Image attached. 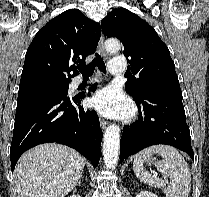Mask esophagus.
Segmentation results:
<instances>
[{
    "label": "esophagus",
    "instance_id": "esophagus-1",
    "mask_svg": "<svg viewBox=\"0 0 209 197\" xmlns=\"http://www.w3.org/2000/svg\"><path fill=\"white\" fill-rule=\"evenodd\" d=\"M98 51L103 57H105V58L107 57V54H106L105 49H104L103 34H101V37H100V40H99V43H98ZM100 125H101L102 130H104L107 127L108 122L104 119H100Z\"/></svg>",
    "mask_w": 209,
    "mask_h": 197
}]
</instances>
